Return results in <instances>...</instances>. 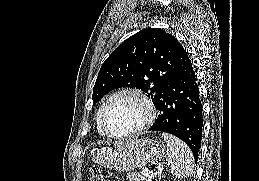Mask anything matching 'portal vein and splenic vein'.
Segmentation results:
<instances>
[{
  "mask_svg": "<svg viewBox=\"0 0 259 181\" xmlns=\"http://www.w3.org/2000/svg\"><path fill=\"white\" fill-rule=\"evenodd\" d=\"M143 175L148 177V178H152L153 174H150L148 172V169L147 168H144L143 171H142Z\"/></svg>",
  "mask_w": 259,
  "mask_h": 181,
  "instance_id": "obj_1",
  "label": "portal vein and splenic vein"
}]
</instances>
